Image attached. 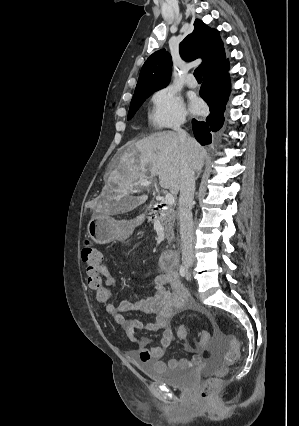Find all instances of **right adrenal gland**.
<instances>
[{"label":"right adrenal gland","instance_id":"obj_1","mask_svg":"<svg viewBox=\"0 0 299 426\" xmlns=\"http://www.w3.org/2000/svg\"><path fill=\"white\" fill-rule=\"evenodd\" d=\"M199 177H200V174H197V176H196V178H195V179L197 180Z\"/></svg>","mask_w":299,"mask_h":426}]
</instances>
